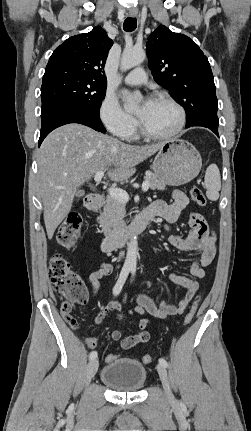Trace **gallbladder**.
Segmentation results:
<instances>
[{
    "label": "gallbladder",
    "instance_id": "gallbladder-1",
    "mask_svg": "<svg viewBox=\"0 0 251 431\" xmlns=\"http://www.w3.org/2000/svg\"><path fill=\"white\" fill-rule=\"evenodd\" d=\"M84 194H85V191H84V190H79V191L77 192L76 196H77V197H81V196H83Z\"/></svg>",
    "mask_w": 251,
    "mask_h": 431
}]
</instances>
